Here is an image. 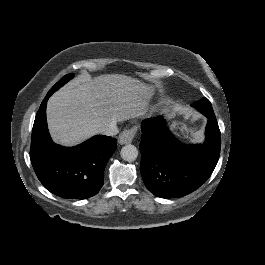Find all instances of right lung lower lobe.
I'll list each match as a JSON object with an SVG mask.
<instances>
[{"mask_svg": "<svg viewBox=\"0 0 265 265\" xmlns=\"http://www.w3.org/2000/svg\"><path fill=\"white\" fill-rule=\"evenodd\" d=\"M47 94L36 114L31 137L30 159L42 185L51 193L67 199L94 196L104 182V169L116 150V139L97 135L84 143L66 148L50 138L46 105Z\"/></svg>", "mask_w": 265, "mask_h": 265, "instance_id": "1", "label": "right lung lower lobe"}]
</instances>
